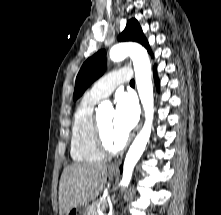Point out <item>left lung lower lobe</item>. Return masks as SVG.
I'll use <instances>...</instances> for the list:
<instances>
[{
  "mask_svg": "<svg viewBox=\"0 0 221 215\" xmlns=\"http://www.w3.org/2000/svg\"><path fill=\"white\" fill-rule=\"evenodd\" d=\"M154 71L156 72V66L154 67ZM156 86L159 87V80L155 77ZM122 171V167L120 168Z\"/></svg>",
  "mask_w": 221,
  "mask_h": 215,
  "instance_id": "0a47b994",
  "label": "left lung lower lobe"
}]
</instances>
